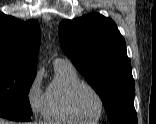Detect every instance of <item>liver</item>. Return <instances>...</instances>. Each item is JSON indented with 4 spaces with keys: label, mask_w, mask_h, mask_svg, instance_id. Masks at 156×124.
<instances>
[{
    "label": "liver",
    "mask_w": 156,
    "mask_h": 124,
    "mask_svg": "<svg viewBox=\"0 0 156 124\" xmlns=\"http://www.w3.org/2000/svg\"><path fill=\"white\" fill-rule=\"evenodd\" d=\"M0 124H10L8 121H5L3 119H0Z\"/></svg>",
    "instance_id": "obj_1"
}]
</instances>
